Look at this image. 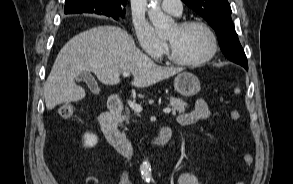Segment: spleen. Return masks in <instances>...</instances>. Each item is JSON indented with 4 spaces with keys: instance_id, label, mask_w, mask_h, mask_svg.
Wrapping results in <instances>:
<instances>
[{
    "instance_id": "3e777b00",
    "label": "spleen",
    "mask_w": 293,
    "mask_h": 184,
    "mask_svg": "<svg viewBox=\"0 0 293 184\" xmlns=\"http://www.w3.org/2000/svg\"><path fill=\"white\" fill-rule=\"evenodd\" d=\"M234 92H235V94H239V93H240V89H239V88H236V89L234 90Z\"/></svg>"
}]
</instances>
